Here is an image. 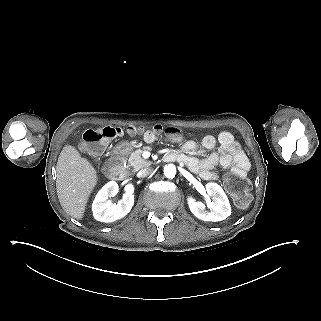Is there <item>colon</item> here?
<instances>
[{
  "label": "colon",
  "mask_w": 321,
  "mask_h": 321,
  "mask_svg": "<svg viewBox=\"0 0 321 321\" xmlns=\"http://www.w3.org/2000/svg\"><path fill=\"white\" fill-rule=\"evenodd\" d=\"M138 128L129 127L127 132L136 134ZM156 133L162 132L163 128L159 125L154 127ZM170 135L180 134V130L176 127H168L165 129ZM124 134V130L114 126H104L97 129H89L85 131L82 137L81 148L83 151L91 154L98 155L102 152L108 140ZM224 186L231 194L235 204L240 208H245L250 202V182L247 179L246 173H233L228 174L224 179Z\"/></svg>",
  "instance_id": "obj_1"
}]
</instances>
